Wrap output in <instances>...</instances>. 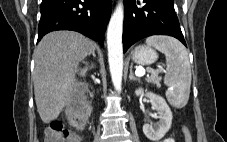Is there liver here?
Segmentation results:
<instances>
[{
  "label": "liver",
  "mask_w": 227,
  "mask_h": 142,
  "mask_svg": "<svg viewBox=\"0 0 227 142\" xmlns=\"http://www.w3.org/2000/svg\"><path fill=\"white\" fill-rule=\"evenodd\" d=\"M95 47L92 40L73 31L51 32L38 43L32 80L44 123L55 120L71 102L78 91L76 70Z\"/></svg>",
  "instance_id": "6515ba94"
}]
</instances>
